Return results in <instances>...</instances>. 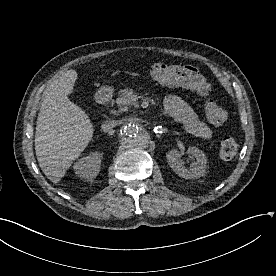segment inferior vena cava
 Here are the masks:
<instances>
[{
  "instance_id": "obj_1",
  "label": "inferior vena cava",
  "mask_w": 276,
  "mask_h": 276,
  "mask_svg": "<svg viewBox=\"0 0 276 276\" xmlns=\"http://www.w3.org/2000/svg\"><path fill=\"white\" fill-rule=\"evenodd\" d=\"M117 124H118V121L109 120L102 125V129L104 132H108V131H111Z\"/></svg>"
}]
</instances>
